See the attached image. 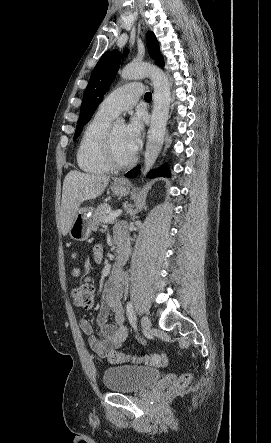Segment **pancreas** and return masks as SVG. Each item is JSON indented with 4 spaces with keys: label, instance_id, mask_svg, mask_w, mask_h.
I'll list each match as a JSON object with an SVG mask.
<instances>
[{
    "label": "pancreas",
    "instance_id": "cf45deb5",
    "mask_svg": "<svg viewBox=\"0 0 271 443\" xmlns=\"http://www.w3.org/2000/svg\"><path fill=\"white\" fill-rule=\"evenodd\" d=\"M110 208L109 204H100L98 208H96L92 218H93V229H97L98 225H100V222H104L106 220V210Z\"/></svg>",
    "mask_w": 271,
    "mask_h": 443
}]
</instances>
